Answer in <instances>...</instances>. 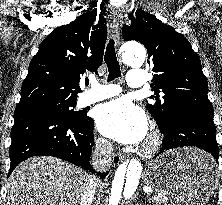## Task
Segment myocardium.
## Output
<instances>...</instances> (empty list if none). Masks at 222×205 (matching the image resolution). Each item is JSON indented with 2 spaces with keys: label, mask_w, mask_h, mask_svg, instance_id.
<instances>
[{
  "label": "myocardium",
  "mask_w": 222,
  "mask_h": 205,
  "mask_svg": "<svg viewBox=\"0 0 222 205\" xmlns=\"http://www.w3.org/2000/svg\"><path fill=\"white\" fill-rule=\"evenodd\" d=\"M161 143V136L157 131H152L144 144L142 145V152L145 154H151L157 150Z\"/></svg>",
  "instance_id": "myocardium-1"
}]
</instances>
